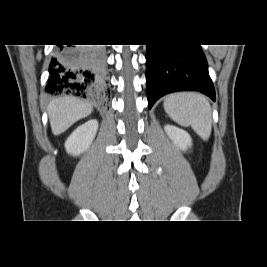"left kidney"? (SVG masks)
<instances>
[{"label": "left kidney", "mask_w": 267, "mask_h": 267, "mask_svg": "<svg viewBox=\"0 0 267 267\" xmlns=\"http://www.w3.org/2000/svg\"><path fill=\"white\" fill-rule=\"evenodd\" d=\"M164 130L178 149L186 151L188 147H191L192 139L186 131L172 125H166Z\"/></svg>", "instance_id": "obj_1"}]
</instances>
